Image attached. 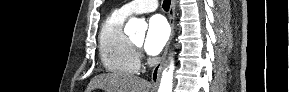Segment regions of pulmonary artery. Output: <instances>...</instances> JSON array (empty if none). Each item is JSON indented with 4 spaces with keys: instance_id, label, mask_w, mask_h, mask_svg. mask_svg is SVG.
<instances>
[{
    "instance_id": "e3ab8cb5",
    "label": "pulmonary artery",
    "mask_w": 289,
    "mask_h": 92,
    "mask_svg": "<svg viewBox=\"0 0 289 92\" xmlns=\"http://www.w3.org/2000/svg\"><path fill=\"white\" fill-rule=\"evenodd\" d=\"M158 7L157 0H135L122 6L119 11L125 16L155 11Z\"/></svg>"
}]
</instances>
